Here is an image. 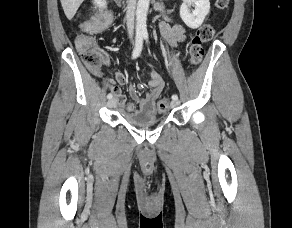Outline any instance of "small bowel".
<instances>
[{
    "label": "small bowel",
    "instance_id": "1",
    "mask_svg": "<svg viewBox=\"0 0 292 228\" xmlns=\"http://www.w3.org/2000/svg\"><path fill=\"white\" fill-rule=\"evenodd\" d=\"M160 28L163 36L172 45H176L185 40V28L180 24L171 25L168 18H165V20L161 22ZM105 62L109 64L107 57H105ZM113 74L118 85H124L127 82V78L120 71L113 69ZM116 83L111 82L108 87L115 95L116 103L119 108L134 114L145 113L146 115H151L156 113V100L164 88V81L156 69L152 67L150 70L148 80L150 91L146 93L144 97L139 95L137 89L133 85L129 87V95L134 102L138 104V108L135 103L127 101L126 96L122 93L120 87Z\"/></svg>",
    "mask_w": 292,
    "mask_h": 228
}]
</instances>
